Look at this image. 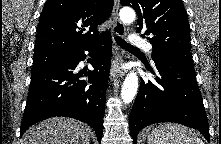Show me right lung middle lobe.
Returning a JSON list of instances; mask_svg holds the SVG:
<instances>
[{
	"label": "right lung middle lobe",
	"instance_id": "obj_1",
	"mask_svg": "<svg viewBox=\"0 0 221 144\" xmlns=\"http://www.w3.org/2000/svg\"><path fill=\"white\" fill-rule=\"evenodd\" d=\"M69 55L55 52L34 54L31 75L65 60Z\"/></svg>",
	"mask_w": 221,
	"mask_h": 144
}]
</instances>
